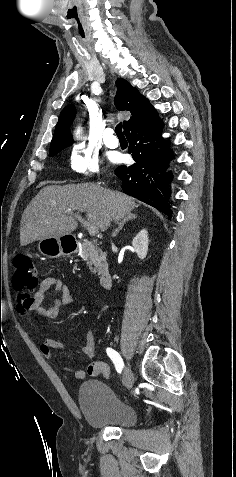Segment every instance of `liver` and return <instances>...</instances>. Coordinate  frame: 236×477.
Returning a JSON list of instances; mask_svg holds the SVG:
<instances>
[{
    "label": "liver",
    "instance_id": "liver-1",
    "mask_svg": "<svg viewBox=\"0 0 236 477\" xmlns=\"http://www.w3.org/2000/svg\"><path fill=\"white\" fill-rule=\"evenodd\" d=\"M136 207L134 198L96 184L45 186L22 214L20 244L69 235L78 226L74 212L86 213L88 222L104 232Z\"/></svg>",
    "mask_w": 236,
    "mask_h": 477
}]
</instances>
